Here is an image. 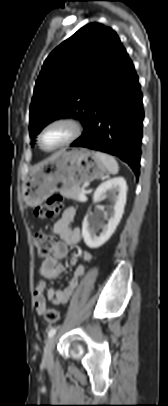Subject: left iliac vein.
Instances as JSON below:
<instances>
[{"instance_id": "left-iliac-vein-1", "label": "left iliac vein", "mask_w": 168, "mask_h": 406, "mask_svg": "<svg viewBox=\"0 0 168 406\" xmlns=\"http://www.w3.org/2000/svg\"><path fill=\"white\" fill-rule=\"evenodd\" d=\"M56 337H51L45 347H44V353H43V361L45 364H52L53 362V349L55 345Z\"/></svg>"}]
</instances>
